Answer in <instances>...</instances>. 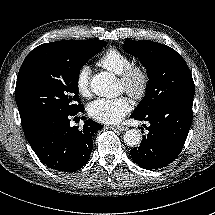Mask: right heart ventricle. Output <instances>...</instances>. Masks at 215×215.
<instances>
[{
	"mask_svg": "<svg viewBox=\"0 0 215 215\" xmlns=\"http://www.w3.org/2000/svg\"><path fill=\"white\" fill-rule=\"evenodd\" d=\"M132 63L130 56L117 48L107 49L98 59V66L120 75Z\"/></svg>",
	"mask_w": 215,
	"mask_h": 215,
	"instance_id": "e07e8e85",
	"label": "right heart ventricle"
}]
</instances>
